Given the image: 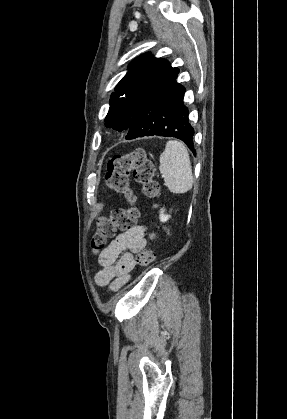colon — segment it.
I'll use <instances>...</instances> for the list:
<instances>
[{
  "instance_id": "colon-1",
  "label": "colon",
  "mask_w": 287,
  "mask_h": 419,
  "mask_svg": "<svg viewBox=\"0 0 287 419\" xmlns=\"http://www.w3.org/2000/svg\"><path fill=\"white\" fill-rule=\"evenodd\" d=\"M154 172V166L143 149L110 159L106 172L107 185L112 191L125 196L131 207L115 210L109 217L99 219L98 229L91 240L94 252L104 250L107 240L112 238L117 230H128L137 223L139 211L135 206L136 197L129 186L130 176L142 186V191L147 197L156 199L159 196L160 186L154 179ZM155 237L156 234L151 233V238ZM154 258V250L147 248L138 253L137 263L140 267H147Z\"/></svg>"
}]
</instances>
